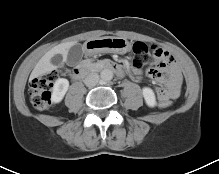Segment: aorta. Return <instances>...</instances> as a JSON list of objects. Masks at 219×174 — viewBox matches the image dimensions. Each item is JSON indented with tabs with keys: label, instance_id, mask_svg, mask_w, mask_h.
I'll use <instances>...</instances> for the list:
<instances>
[{
	"label": "aorta",
	"instance_id": "obj_1",
	"mask_svg": "<svg viewBox=\"0 0 219 174\" xmlns=\"http://www.w3.org/2000/svg\"><path fill=\"white\" fill-rule=\"evenodd\" d=\"M100 77L103 81H110L113 78V72L110 69H104L101 71Z\"/></svg>",
	"mask_w": 219,
	"mask_h": 174
}]
</instances>
